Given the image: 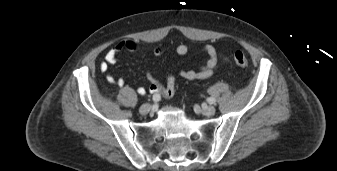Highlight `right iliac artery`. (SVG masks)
I'll return each instance as SVG.
<instances>
[{
    "label": "right iliac artery",
    "instance_id": "obj_1",
    "mask_svg": "<svg viewBox=\"0 0 337 171\" xmlns=\"http://www.w3.org/2000/svg\"><path fill=\"white\" fill-rule=\"evenodd\" d=\"M160 100V96L159 95H153L152 101L153 102H158Z\"/></svg>",
    "mask_w": 337,
    "mask_h": 171
}]
</instances>
